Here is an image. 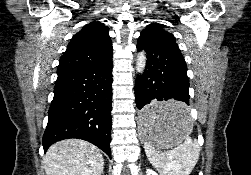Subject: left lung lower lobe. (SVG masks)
I'll return each instance as SVG.
<instances>
[{
	"label": "left lung lower lobe",
	"instance_id": "obj_1",
	"mask_svg": "<svg viewBox=\"0 0 251 175\" xmlns=\"http://www.w3.org/2000/svg\"><path fill=\"white\" fill-rule=\"evenodd\" d=\"M138 51L145 50L147 62L135 82L138 120L153 126L182 122L190 115L187 66L180 49L150 34H141ZM174 99L180 104H158Z\"/></svg>",
	"mask_w": 251,
	"mask_h": 175
}]
</instances>
